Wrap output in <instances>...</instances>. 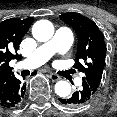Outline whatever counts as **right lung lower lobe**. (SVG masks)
I'll list each match as a JSON object with an SVG mask.
<instances>
[{"instance_id": "obj_1", "label": "right lung lower lobe", "mask_w": 117, "mask_h": 117, "mask_svg": "<svg viewBox=\"0 0 117 117\" xmlns=\"http://www.w3.org/2000/svg\"><path fill=\"white\" fill-rule=\"evenodd\" d=\"M26 86L14 77L0 93V106L4 108H13L18 106L24 97Z\"/></svg>"}]
</instances>
